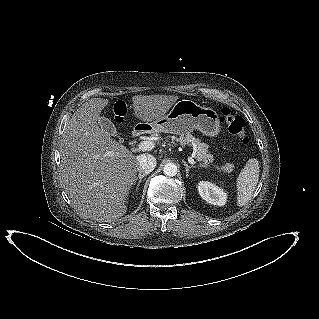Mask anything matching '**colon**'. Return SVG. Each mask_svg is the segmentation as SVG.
<instances>
[{"instance_id": "1", "label": "colon", "mask_w": 319, "mask_h": 319, "mask_svg": "<svg viewBox=\"0 0 319 319\" xmlns=\"http://www.w3.org/2000/svg\"><path fill=\"white\" fill-rule=\"evenodd\" d=\"M114 118L118 123L123 121L126 115V106L124 103L119 102L113 110ZM220 120L227 126L229 133L236 136L243 145L249 143V138L245 132V122L242 117L233 115L228 108H223L221 111Z\"/></svg>"}]
</instances>
